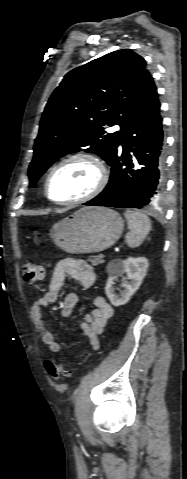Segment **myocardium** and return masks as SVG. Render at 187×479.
<instances>
[{
	"instance_id": "f54148a6",
	"label": "myocardium",
	"mask_w": 187,
	"mask_h": 479,
	"mask_svg": "<svg viewBox=\"0 0 187 479\" xmlns=\"http://www.w3.org/2000/svg\"><path fill=\"white\" fill-rule=\"evenodd\" d=\"M75 160H85L90 162L94 166L97 177H96V182L93 188L87 194L75 199L66 200V201H57L52 199L49 194V184H50L51 178L56 173V171L59 170L62 166ZM107 182H108V172L104 163L100 160V158L89 152H77L64 157L52 167V169L49 171L44 182V194L49 201L58 205L82 204L97 197L104 190V188L107 185Z\"/></svg>"
}]
</instances>
